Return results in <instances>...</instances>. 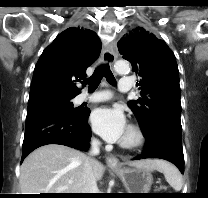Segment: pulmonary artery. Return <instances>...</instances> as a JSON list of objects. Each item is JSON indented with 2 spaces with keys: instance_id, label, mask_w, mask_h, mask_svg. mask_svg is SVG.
Returning <instances> with one entry per match:
<instances>
[{
  "instance_id": "e3ab8cb5",
  "label": "pulmonary artery",
  "mask_w": 208,
  "mask_h": 198,
  "mask_svg": "<svg viewBox=\"0 0 208 198\" xmlns=\"http://www.w3.org/2000/svg\"><path fill=\"white\" fill-rule=\"evenodd\" d=\"M132 87L131 79L129 77H123L119 81V90L121 92H128ZM111 98V94L108 91H101L97 93H82L79 96L80 102H103L109 100Z\"/></svg>"
}]
</instances>
